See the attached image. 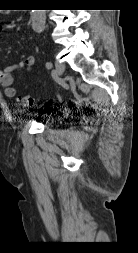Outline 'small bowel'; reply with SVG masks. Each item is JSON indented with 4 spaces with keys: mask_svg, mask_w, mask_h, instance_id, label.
I'll use <instances>...</instances> for the list:
<instances>
[{
    "mask_svg": "<svg viewBox=\"0 0 138 253\" xmlns=\"http://www.w3.org/2000/svg\"><path fill=\"white\" fill-rule=\"evenodd\" d=\"M34 64L35 57L30 55L23 61H18L5 67H0V85L4 88V93L7 97H15L18 92L16 86L14 85L13 72L23 69L24 67H26L27 70H30Z\"/></svg>",
    "mask_w": 138,
    "mask_h": 253,
    "instance_id": "obj_1",
    "label": "small bowel"
}]
</instances>
